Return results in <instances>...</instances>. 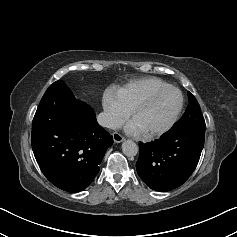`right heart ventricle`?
<instances>
[{
    "label": "right heart ventricle",
    "mask_w": 237,
    "mask_h": 237,
    "mask_svg": "<svg viewBox=\"0 0 237 237\" xmlns=\"http://www.w3.org/2000/svg\"><path fill=\"white\" fill-rule=\"evenodd\" d=\"M167 86H169V84L159 78L145 77L132 80L122 87L114 88L111 92L130 112L135 103H137L144 96L150 92Z\"/></svg>",
    "instance_id": "1"
}]
</instances>
